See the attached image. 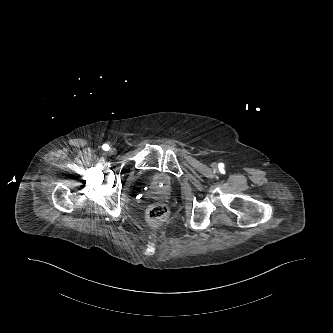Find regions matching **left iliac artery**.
<instances>
[{
	"instance_id": "left-iliac-artery-1",
	"label": "left iliac artery",
	"mask_w": 333,
	"mask_h": 333,
	"mask_svg": "<svg viewBox=\"0 0 333 333\" xmlns=\"http://www.w3.org/2000/svg\"><path fill=\"white\" fill-rule=\"evenodd\" d=\"M221 166H223V163H220V164H219V167H220V168H221Z\"/></svg>"
}]
</instances>
